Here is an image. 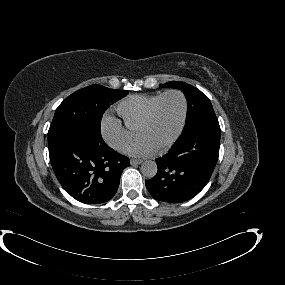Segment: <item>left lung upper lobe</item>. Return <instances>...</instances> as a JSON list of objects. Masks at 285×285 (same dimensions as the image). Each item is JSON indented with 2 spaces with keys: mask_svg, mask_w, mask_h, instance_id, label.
Segmentation results:
<instances>
[{
  "mask_svg": "<svg viewBox=\"0 0 285 285\" xmlns=\"http://www.w3.org/2000/svg\"><path fill=\"white\" fill-rule=\"evenodd\" d=\"M161 87L180 89L186 96L188 102V110L182 135H184L200 122L216 118L210 100L197 88L179 81L168 82L161 85Z\"/></svg>",
  "mask_w": 285,
  "mask_h": 285,
  "instance_id": "5c2ea615",
  "label": "left lung upper lobe"
}]
</instances>
